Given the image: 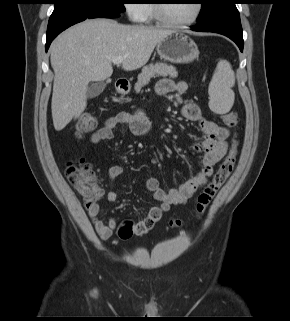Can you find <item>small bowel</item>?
<instances>
[{"mask_svg": "<svg viewBox=\"0 0 290 321\" xmlns=\"http://www.w3.org/2000/svg\"><path fill=\"white\" fill-rule=\"evenodd\" d=\"M187 89V83L184 81L174 82L171 79H162L156 86V93L158 95H167L174 92L184 94ZM182 113L187 120L198 124V128L203 135L200 141L192 146L193 152L201 154V169L192 178L168 191L160 187L158 179L154 177L147 179L146 188L152 193L158 204L150 209L145 218L134 223L137 235L148 232L169 211L172 205L185 204L207 182L213 172V166L224 156L227 150L228 129L205 118L196 101H187L182 108ZM119 124L127 125L136 136H146L152 128L143 111L121 112L108 117L102 127L91 135L90 142L97 144L112 139L113 130ZM122 173V167L114 165L109 169L108 176L111 181H114ZM101 195H103V191ZM106 198L109 202L115 203L119 200V194L112 188L107 192ZM86 210L98 235L104 240L110 238L117 227V221L114 218H109L107 221L100 219V208L97 203L86 207Z\"/></svg>", "mask_w": 290, "mask_h": 321, "instance_id": "obj_1", "label": "small bowel"}]
</instances>
